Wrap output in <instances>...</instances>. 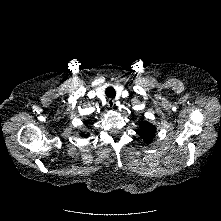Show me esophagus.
I'll return each mask as SVG.
<instances>
[{"instance_id": "esophagus-1", "label": "esophagus", "mask_w": 221, "mask_h": 221, "mask_svg": "<svg viewBox=\"0 0 221 221\" xmlns=\"http://www.w3.org/2000/svg\"><path fill=\"white\" fill-rule=\"evenodd\" d=\"M107 104L110 108H113L115 105V100L114 99H108Z\"/></svg>"}]
</instances>
